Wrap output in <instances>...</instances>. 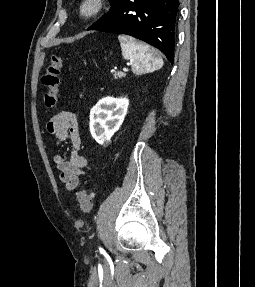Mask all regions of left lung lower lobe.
<instances>
[{
  "mask_svg": "<svg viewBox=\"0 0 255 287\" xmlns=\"http://www.w3.org/2000/svg\"><path fill=\"white\" fill-rule=\"evenodd\" d=\"M179 0H116L87 30L127 34L160 49L173 64Z\"/></svg>",
  "mask_w": 255,
  "mask_h": 287,
  "instance_id": "1",
  "label": "left lung lower lobe"
}]
</instances>
